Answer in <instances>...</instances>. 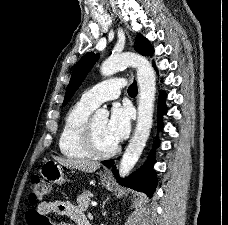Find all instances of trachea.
Listing matches in <instances>:
<instances>
[{"instance_id": "1", "label": "trachea", "mask_w": 228, "mask_h": 225, "mask_svg": "<svg viewBox=\"0 0 228 225\" xmlns=\"http://www.w3.org/2000/svg\"><path fill=\"white\" fill-rule=\"evenodd\" d=\"M128 94L129 95H137V84L136 81L134 80V82L128 87Z\"/></svg>"}]
</instances>
